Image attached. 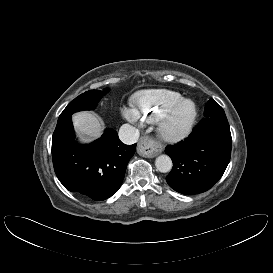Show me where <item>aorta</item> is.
Instances as JSON below:
<instances>
[{"instance_id": "aorta-1", "label": "aorta", "mask_w": 273, "mask_h": 273, "mask_svg": "<svg viewBox=\"0 0 273 273\" xmlns=\"http://www.w3.org/2000/svg\"><path fill=\"white\" fill-rule=\"evenodd\" d=\"M155 166L161 173H167L172 169V160L168 155H160L156 158Z\"/></svg>"}]
</instances>
